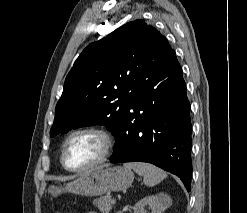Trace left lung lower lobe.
Masks as SVG:
<instances>
[{"mask_svg":"<svg viewBox=\"0 0 247 213\" xmlns=\"http://www.w3.org/2000/svg\"><path fill=\"white\" fill-rule=\"evenodd\" d=\"M191 131L186 84L175 52L170 51L133 96L110 161L152 163L180 177L190 191Z\"/></svg>","mask_w":247,"mask_h":213,"instance_id":"obj_1","label":"left lung lower lobe"}]
</instances>
